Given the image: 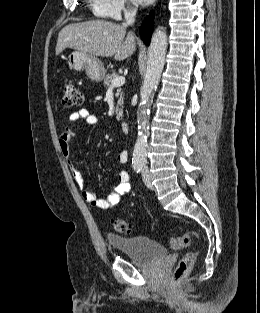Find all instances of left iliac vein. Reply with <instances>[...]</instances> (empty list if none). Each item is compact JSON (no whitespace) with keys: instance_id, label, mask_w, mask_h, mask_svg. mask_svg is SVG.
Segmentation results:
<instances>
[{"instance_id":"1","label":"left iliac vein","mask_w":260,"mask_h":313,"mask_svg":"<svg viewBox=\"0 0 260 313\" xmlns=\"http://www.w3.org/2000/svg\"><path fill=\"white\" fill-rule=\"evenodd\" d=\"M142 177H143V181H144V184L151 190L154 189V186L152 184V181H151V178H150V174H149V170L148 168H145L143 170V173H142Z\"/></svg>"}]
</instances>
